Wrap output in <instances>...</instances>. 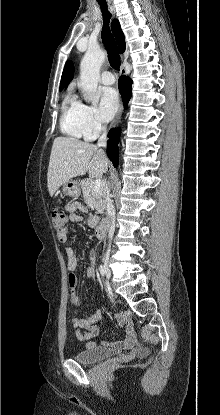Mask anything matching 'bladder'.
Segmentation results:
<instances>
[{"mask_svg": "<svg viewBox=\"0 0 220 415\" xmlns=\"http://www.w3.org/2000/svg\"><path fill=\"white\" fill-rule=\"evenodd\" d=\"M115 355L116 353L113 351L96 346V347H87L83 350H80L75 355L74 358L76 361L80 363L88 364V363H94V362H98L104 359H108Z\"/></svg>", "mask_w": 220, "mask_h": 415, "instance_id": "obj_1", "label": "bladder"}]
</instances>
